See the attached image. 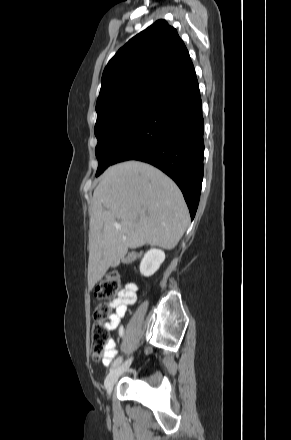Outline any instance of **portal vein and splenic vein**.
Segmentation results:
<instances>
[{
  "instance_id": "obj_1",
  "label": "portal vein and splenic vein",
  "mask_w": 291,
  "mask_h": 440,
  "mask_svg": "<svg viewBox=\"0 0 291 440\" xmlns=\"http://www.w3.org/2000/svg\"><path fill=\"white\" fill-rule=\"evenodd\" d=\"M116 228H121V226H120V225H118V224H116Z\"/></svg>"
}]
</instances>
